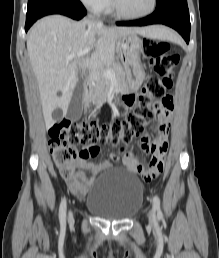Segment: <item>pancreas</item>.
<instances>
[{"label":"pancreas","mask_w":219,"mask_h":258,"mask_svg":"<svg viewBox=\"0 0 219 258\" xmlns=\"http://www.w3.org/2000/svg\"><path fill=\"white\" fill-rule=\"evenodd\" d=\"M111 70L115 73V80L117 81L120 88L126 85L125 72L121 65L113 63L108 66L104 71ZM110 88V80L103 74L100 75L94 85L91 102L96 105H101L106 101L107 93Z\"/></svg>","instance_id":"1"}]
</instances>
